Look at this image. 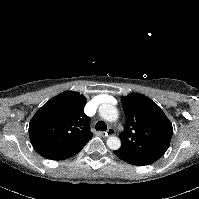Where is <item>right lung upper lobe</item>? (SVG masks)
<instances>
[{
  "label": "right lung upper lobe",
  "mask_w": 199,
  "mask_h": 199,
  "mask_svg": "<svg viewBox=\"0 0 199 199\" xmlns=\"http://www.w3.org/2000/svg\"><path fill=\"white\" fill-rule=\"evenodd\" d=\"M85 104L86 98L73 91L45 103L29 123L30 141L36 152L53 160L84 147L93 136Z\"/></svg>",
  "instance_id": "1"
}]
</instances>
